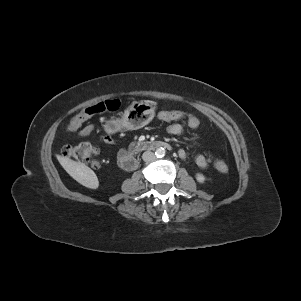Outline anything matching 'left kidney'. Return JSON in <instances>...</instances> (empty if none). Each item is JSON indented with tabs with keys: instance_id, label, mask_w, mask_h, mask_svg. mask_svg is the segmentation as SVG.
Segmentation results:
<instances>
[{
	"instance_id": "obj_1",
	"label": "left kidney",
	"mask_w": 301,
	"mask_h": 301,
	"mask_svg": "<svg viewBox=\"0 0 301 301\" xmlns=\"http://www.w3.org/2000/svg\"><path fill=\"white\" fill-rule=\"evenodd\" d=\"M196 180H197L199 183H204V182H205V177H204V175H202V174H196Z\"/></svg>"
}]
</instances>
